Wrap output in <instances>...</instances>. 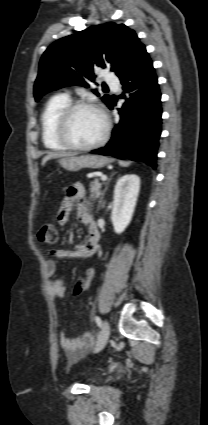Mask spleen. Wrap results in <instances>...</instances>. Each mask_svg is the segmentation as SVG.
Wrapping results in <instances>:
<instances>
[{"mask_svg": "<svg viewBox=\"0 0 208 425\" xmlns=\"http://www.w3.org/2000/svg\"><path fill=\"white\" fill-rule=\"evenodd\" d=\"M118 163L122 167H128L131 164L130 162H125V161H118Z\"/></svg>", "mask_w": 208, "mask_h": 425, "instance_id": "obj_1", "label": "spleen"}]
</instances>
